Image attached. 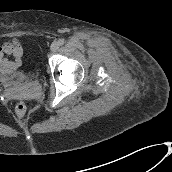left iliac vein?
I'll return each instance as SVG.
<instances>
[{
    "label": "left iliac vein",
    "instance_id": "1",
    "mask_svg": "<svg viewBox=\"0 0 172 172\" xmlns=\"http://www.w3.org/2000/svg\"><path fill=\"white\" fill-rule=\"evenodd\" d=\"M50 49L52 52H56L58 49H59V43L54 41L51 46H50Z\"/></svg>",
    "mask_w": 172,
    "mask_h": 172
}]
</instances>
